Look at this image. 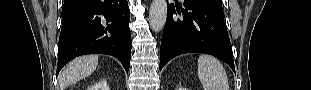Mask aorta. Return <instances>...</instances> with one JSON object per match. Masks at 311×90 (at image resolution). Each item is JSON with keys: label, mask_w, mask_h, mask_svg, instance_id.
<instances>
[{"label": "aorta", "mask_w": 311, "mask_h": 90, "mask_svg": "<svg viewBox=\"0 0 311 90\" xmlns=\"http://www.w3.org/2000/svg\"><path fill=\"white\" fill-rule=\"evenodd\" d=\"M167 18L166 0H153L149 10V23L154 32H159L164 28Z\"/></svg>", "instance_id": "aorta-1"}]
</instances>
